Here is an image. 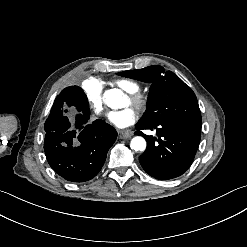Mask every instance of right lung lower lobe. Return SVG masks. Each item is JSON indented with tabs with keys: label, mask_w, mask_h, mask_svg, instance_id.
<instances>
[{
	"label": "right lung lower lobe",
	"mask_w": 247,
	"mask_h": 247,
	"mask_svg": "<svg viewBox=\"0 0 247 247\" xmlns=\"http://www.w3.org/2000/svg\"><path fill=\"white\" fill-rule=\"evenodd\" d=\"M64 105L74 106L80 112L75 122L79 132L69 129V120L63 115ZM89 116V105L83 104L71 87H67L56 97L44 125L48 163L58 175L71 182H85L95 177L117 138L116 130L103 120L85 125Z\"/></svg>",
	"instance_id": "1"
}]
</instances>
